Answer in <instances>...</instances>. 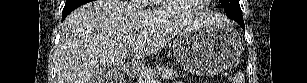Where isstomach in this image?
Here are the masks:
<instances>
[{"mask_svg":"<svg viewBox=\"0 0 307 83\" xmlns=\"http://www.w3.org/2000/svg\"><path fill=\"white\" fill-rule=\"evenodd\" d=\"M241 47L240 36L232 26L212 24L178 34L173 52L188 72L214 76L233 65Z\"/></svg>","mask_w":307,"mask_h":83,"instance_id":"obj_1","label":"stomach"}]
</instances>
